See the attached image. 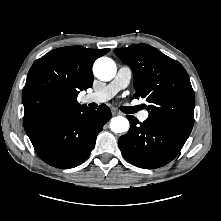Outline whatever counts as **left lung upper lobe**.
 <instances>
[{
  "mask_svg": "<svg viewBox=\"0 0 221 221\" xmlns=\"http://www.w3.org/2000/svg\"><path fill=\"white\" fill-rule=\"evenodd\" d=\"M114 52L133 71L135 97L150 103L148 118L191 133L195 95L184 67L146 44Z\"/></svg>",
  "mask_w": 221,
  "mask_h": 221,
  "instance_id": "left-lung-upper-lobe-1",
  "label": "left lung upper lobe"
}]
</instances>
